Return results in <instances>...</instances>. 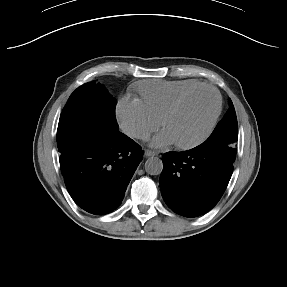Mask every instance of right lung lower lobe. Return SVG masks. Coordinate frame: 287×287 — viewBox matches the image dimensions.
Wrapping results in <instances>:
<instances>
[{
  "label": "right lung lower lobe",
  "instance_id": "1",
  "mask_svg": "<svg viewBox=\"0 0 287 287\" xmlns=\"http://www.w3.org/2000/svg\"><path fill=\"white\" fill-rule=\"evenodd\" d=\"M143 151L121 132L83 140L60 156L67 190L85 211L103 215L122 202Z\"/></svg>",
  "mask_w": 287,
  "mask_h": 287
}]
</instances>
